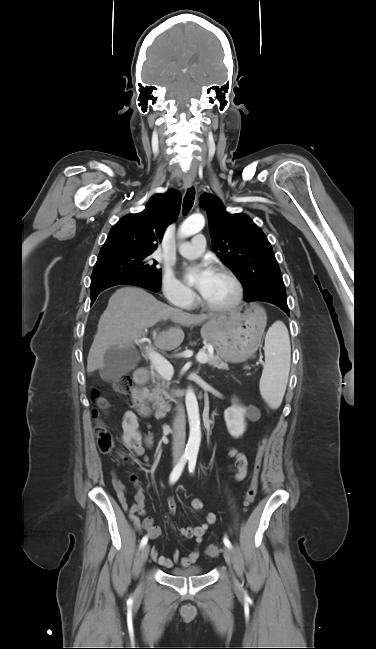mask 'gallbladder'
<instances>
[{
	"label": "gallbladder",
	"instance_id": "obj_1",
	"mask_svg": "<svg viewBox=\"0 0 376 649\" xmlns=\"http://www.w3.org/2000/svg\"><path fill=\"white\" fill-rule=\"evenodd\" d=\"M138 361L139 355L134 348L111 347L104 354L100 376L105 381L116 380L134 369Z\"/></svg>",
	"mask_w": 376,
	"mask_h": 649
}]
</instances>
